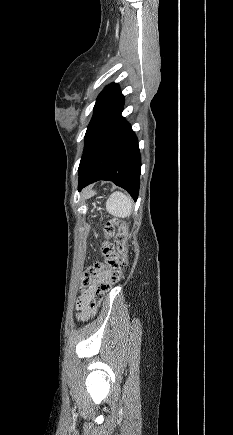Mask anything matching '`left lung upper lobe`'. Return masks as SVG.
I'll return each mask as SVG.
<instances>
[{
    "label": "left lung upper lobe",
    "mask_w": 233,
    "mask_h": 435,
    "mask_svg": "<svg viewBox=\"0 0 233 435\" xmlns=\"http://www.w3.org/2000/svg\"><path fill=\"white\" fill-rule=\"evenodd\" d=\"M124 105V96L116 83H111L99 94L93 117L85 134V148L95 139L101 130L121 117Z\"/></svg>",
    "instance_id": "5c2ea615"
}]
</instances>
